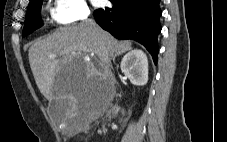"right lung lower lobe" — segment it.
I'll use <instances>...</instances> for the list:
<instances>
[{
    "instance_id": "obj_1",
    "label": "right lung lower lobe",
    "mask_w": 227,
    "mask_h": 142,
    "mask_svg": "<svg viewBox=\"0 0 227 142\" xmlns=\"http://www.w3.org/2000/svg\"><path fill=\"white\" fill-rule=\"evenodd\" d=\"M113 7L94 11L96 22L117 39L144 45L157 62V36L161 31L160 0H110Z\"/></svg>"
}]
</instances>
